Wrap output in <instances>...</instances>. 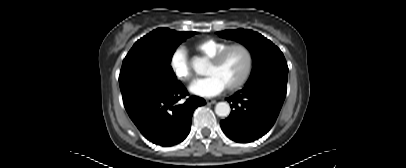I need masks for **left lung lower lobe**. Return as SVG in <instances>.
<instances>
[{"mask_svg":"<svg viewBox=\"0 0 406 168\" xmlns=\"http://www.w3.org/2000/svg\"><path fill=\"white\" fill-rule=\"evenodd\" d=\"M286 96V85L261 83L246 86L230 98L231 114L220 122L223 132L240 143L253 142L274 125Z\"/></svg>","mask_w":406,"mask_h":168,"instance_id":"1","label":"left lung lower lobe"}]
</instances>
